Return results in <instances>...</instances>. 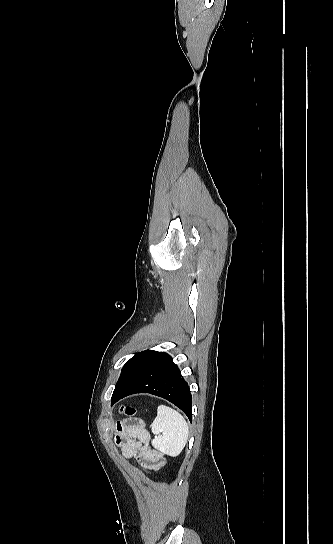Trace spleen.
<instances>
[{"instance_id": "spleen-1", "label": "spleen", "mask_w": 333, "mask_h": 544, "mask_svg": "<svg viewBox=\"0 0 333 544\" xmlns=\"http://www.w3.org/2000/svg\"><path fill=\"white\" fill-rule=\"evenodd\" d=\"M155 435L152 444L163 454L177 456L185 447L189 435V427L185 418L173 408L160 405L157 416L151 424Z\"/></svg>"}]
</instances>
